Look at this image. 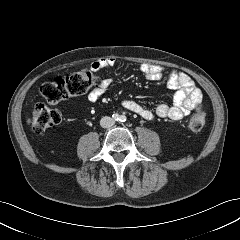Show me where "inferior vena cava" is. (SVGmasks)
Returning a JSON list of instances; mask_svg holds the SVG:
<instances>
[{"mask_svg": "<svg viewBox=\"0 0 240 240\" xmlns=\"http://www.w3.org/2000/svg\"><path fill=\"white\" fill-rule=\"evenodd\" d=\"M114 125V120L111 117L105 116L100 120V126L102 128H110Z\"/></svg>", "mask_w": 240, "mask_h": 240, "instance_id": "1", "label": "inferior vena cava"}]
</instances>
